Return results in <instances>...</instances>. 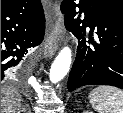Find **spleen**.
<instances>
[{
  "mask_svg": "<svg viewBox=\"0 0 123 113\" xmlns=\"http://www.w3.org/2000/svg\"><path fill=\"white\" fill-rule=\"evenodd\" d=\"M89 101L97 113H123V91L112 86H100L89 94Z\"/></svg>",
  "mask_w": 123,
  "mask_h": 113,
  "instance_id": "spleen-1",
  "label": "spleen"
}]
</instances>
